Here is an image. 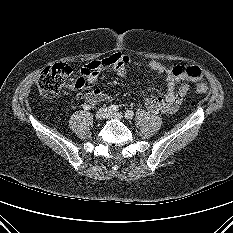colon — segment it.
<instances>
[{
  "label": "colon",
  "instance_id": "1",
  "mask_svg": "<svg viewBox=\"0 0 233 233\" xmlns=\"http://www.w3.org/2000/svg\"><path fill=\"white\" fill-rule=\"evenodd\" d=\"M71 72V68L62 63L45 68L36 82L41 96L48 99L55 98L61 88L66 84ZM174 72L177 75H184L195 79L201 76V71L196 66H181L180 68H176ZM77 82L81 83V80H77ZM196 91L200 94H205L208 91V87L204 83H198L196 85Z\"/></svg>",
  "mask_w": 233,
  "mask_h": 233
}]
</instances>
